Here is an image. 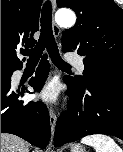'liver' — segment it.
Here are the masks:
<instances>
[{"label": "liver", "instance_id": "liver-1", "mask_svg": "<svg viewBox=\"0 0 123 152\" xmlns=\"http://www.w3.org/2000/svg\"><path fill=\"white\" fill-rule=\"evenodd\" d=\"M1 152H29V144L16 135L1 133Z\"/></svg>", "mask_w": 123, "mask_h": 152}]
</instances>
